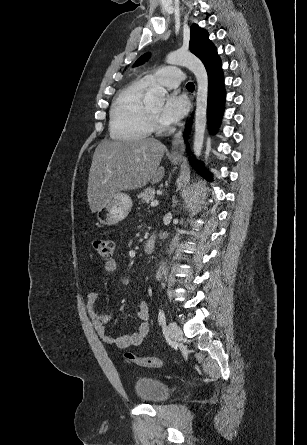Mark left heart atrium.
<instances>
[{
	"label": "left heart atrium",
	"mask_w": 307,
	"mask_h": 445,
	"mask_svg": "<svg viewBox=\"0 0 307 445\" xmlns=\"http://www.w3.org/2000/svg\"><path fill=\"white\" fill-rule=\"evenodd\" d=\"M188 110L187 100L175 91L167 93L161 110V118L166 123H174L184 117Z\"/></svg>",
	"instance_id": "left-heart-atrium-1"
}]
</instances>
